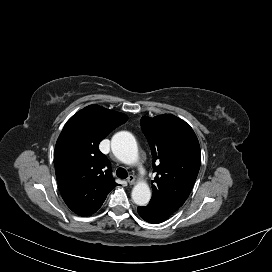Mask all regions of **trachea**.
<instances>
[{
    "label": "trachea",
    "mask_w": 272,
    "mask_h": 272,
    "mask_svg": "<svg viewBox=\"0 0 272 272\" xmlns=\"http://www.w3.org/2000/svg\"><path fill=\"white\" fill-rule=\"evenodd\" d=\"M116 175H117V177H119L120 179H125V178H127L128 173H127V171H126L124 168H118V169L116 170Z\"/></svg>",
    "instance_id": "trachea-1"
}]
</instances>
